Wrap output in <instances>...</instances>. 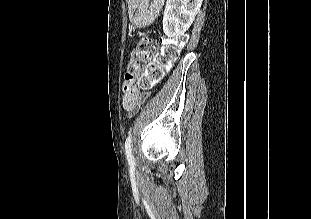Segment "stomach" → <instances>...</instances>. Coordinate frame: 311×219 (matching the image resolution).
<instances>
[{"instance_id": "1", "label": "stomach", "mask_w": 311, "mask_h": 219, "mask_svg": "<svg viewBox=\"0 0 311 219\" xmlns=\"http://www.w3.org/2000/svg\"><path fill=\"white\" fill-rule=\"evenodd\" d=\"M163 0H139V5L132 22L137 27L151 25L156 19Z\"/></svg>"}]
</instances>
